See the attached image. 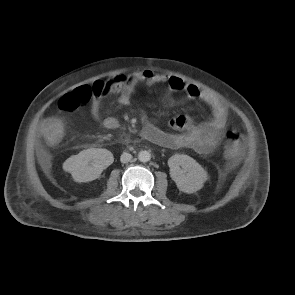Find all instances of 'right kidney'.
I'll return each mask as SVG.
<instances>
[{
	"instance_id": "obj_1",
	"label": "right kidney",
	"mask_w": 295,
	"mask_h": 295,
	"mask_svg": "<svg viewBox=\"0 0 295 295\" xmlns=\"http://www.w3.org/2000/svg\"><path fill=\"white\" fill-rule=\"evenodd\" d=\"M113 161V154L107 149L90 148L69 157L63 163V169L71 173L74 181L89 182L97 179Z\"/></svg>"
}]
</instances>
